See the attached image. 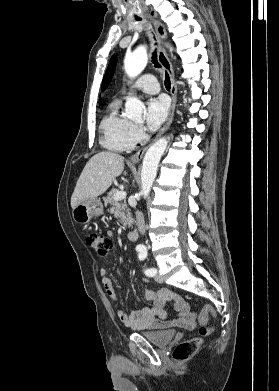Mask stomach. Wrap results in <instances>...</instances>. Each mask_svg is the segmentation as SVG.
I'll list each match as a JSON object with an SVG mask.
<instances>
[{"mask_svg":"<svg viewBox=\"0 0 279 391\" xmlns=\"http://www.w3.org/2000/svg\"><path fill=\"white\" fill-rule=\"evenodd\" d=\"M103 214V205L99 198L87 200L77 205L72 212L75 222L80 224L89 223L93 218Z\"/></svg>","mask_w":279,"mask_h":391,"instance_id":"1","label":"stomach"}]
</instances>
